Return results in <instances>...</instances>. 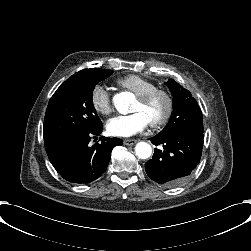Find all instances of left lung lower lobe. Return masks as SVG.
Segmentation results:
<instances>
[{
    "label": "left lung lower lobe",
    "instance_id": "obj_1",
    "mask_svg": "<svg viewBox=\"0 0 251 251\" xmlns=\"http://www.w3.org/2000/svg\"><path fill=\"white\" fill-rule=\"evenodd\" d=\"M153 144L163 145L154 149L151 160L145 163L147 175L155 182L166 186L183 183L199 164L203 148V132L181 131L166 137L150 138Z\"/></svg>",
    "mask_w": 251,
    "mask_h": 251
}]
</instances>
